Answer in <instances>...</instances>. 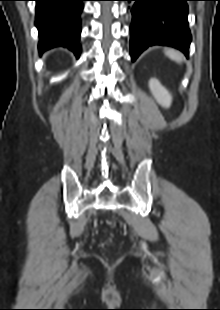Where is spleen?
<instances>
[{
	"mask_svg": "<svg viewBox=\"0 0 220 310\" xmlns=\"http://www.w3.org/2000/svg\"><path fill=\"white\" fill-rule=\"evenodd\" d=\"M165 54L173 61H176L177 63L182 62V55L175 50L172 49H167L165 50Z\"/></svg>",
	"mask_w": 220,
	"mask_h": 310,
	"instance_id": "obj_1",
	"label": "spleen"
}]
</instances>
